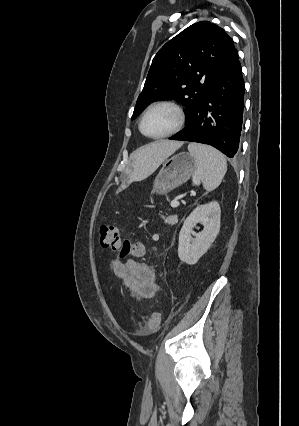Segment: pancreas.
Instances as JSON below:
<instances>
[{"label": "pancreas", "mask_w": 299, "mask_h": 426, "mask_svg": "<svg viewBox=\"0 0 299 426\" xmlns=\"http://www.w3.org/2000/svg\"><path fill=\"white\" fill-rule=\"evenodd\" d=\"M176 222H177L176 218L172 216L165 219V223H168V224H175Z\"/></svg>", "instance_id": "1"}]
</instances>
